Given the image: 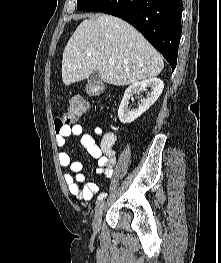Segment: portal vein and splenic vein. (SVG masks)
Listing matches in <instances>:
<instances>
[{"label":"portal vein and splenic vein","instance_id":"18ae733b","mask_svg":"<svg viewBox=\"0 0 221 263\" xmlns=\"http://www.w3.org/2000/svg\"><path fill=\"white\" fill-rule=\"evenodd\" d=\"M108 62H109L110 65H114V63H115L113 59H109Z\"/></svg>","mask_w":221,"mask_h":263}]
</instances>
